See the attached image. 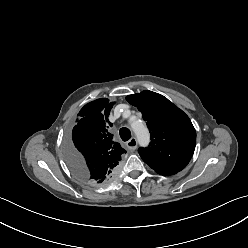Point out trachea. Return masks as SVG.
Segmentation results:
<instances>
[{
    "label": "trachea",
    "mask_w": 248,
    "mask_h": 248,
    "mask_svg": "<svg viewBox=\"0 0 248 248\" xmlns=\"http://www.w3.org/2000/svg\"><path fill=\"white\" fill-rule=\"evenodd\" d=\"M119 134L123 141H128L131 138V132L128 128H121Z\"/></svg>",
    "instance_id": "1"
}]
</instances>
